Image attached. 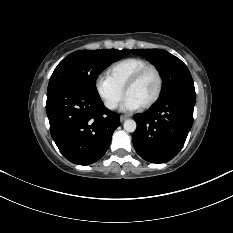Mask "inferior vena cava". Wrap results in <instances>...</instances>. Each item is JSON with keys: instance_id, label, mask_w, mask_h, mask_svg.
<instances>
[{"instance_id": "obj_1", "label": "inferior vena cava", "mask_w": 233, "mask_h": 233, "mask_svg": "<svg viewBox=\"0 0 233 233\" xmlns=\"http://www.w3.org/2000/svg\"><path fill=\"white\" fill-rule=\"evenodd\" d=\"M107 107L110 109H114V108H116V103H109V104H107Z\"/></svg>"}]
</instances>
